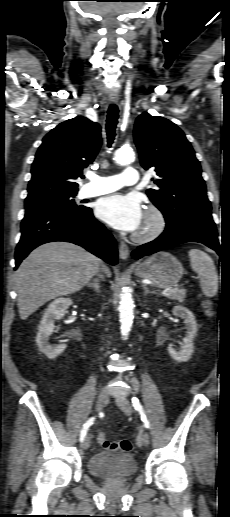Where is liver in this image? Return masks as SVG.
<instances>
[{
    "mask_svg": "<svg viewBox=\"0 0 230 517\" xmlns=\"http://www.w3.org/2000/svg\"><path fill=\"white\" fill-rule=\"evenodd\" d=\"M102 261L68 242H50L34 249L15 273L20 318L27 319L44 303L79 291L99 270Z\"/></svg>",
    "mask_w": 230,
    "mask_h": 517,
    "instance_id": "1",
    "label": "liver"
}]
</instances>
